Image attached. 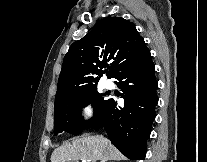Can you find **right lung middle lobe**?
Returning a JSON list of instances; mask_svg holds the SVG:
<instances>
[{
	"label": "right lung middle lobe",
	"mask_w": 207,
	"mask_h": 162,
	"mask_svg": "<svg viewBox=\"0 0 207 162\" xmlns=\"http://www.w3.org/2000/svg\"><path fill=\"white\" fill-rule=\"evenodd\" d=\"M104 96L98 93L97 88H95L83 93L55 99V134L60 133L63 130L74 135L81 133L90 123L83 121V118L81 117V109L92 102L95 110L93 119L96 118L105 104L109 101V99Z\"/></svg>",
	"instance_id": "dd1d6c3e"
}]
</instances>
